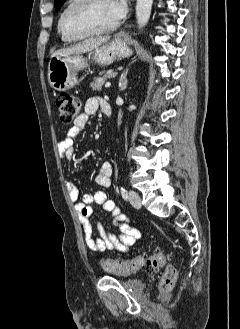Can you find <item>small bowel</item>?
Wrapping results in <instances>:
<instances>
[{"instance_id": "c3829d8e", "label": "small bowel", "mask_w": 240, "mask_h": 329, "mask_svg": "<svg viewBox=\"0 0 240 329\" xmlns=\"http://www.w3.org/2000/svg\"><path fill=\"white\" fill-rule=\"evenodd\" d=\"M103 99L91 98L84 108V112L76 118L74 124L68 129L66 137L58 144V152L65 161H72L75 157V149L73 146L74 138L85 129L89 118L96 111L102 109ZM113 174V166L109 162H105L100 166L98 173L95 176V182L99 186L109 187L111 185V177ZM66 188L69 198L74 204V208L78 214L79 221L82 224L84 231V241L86 246L93 253L102 252L104 250H116L120 252H128L129 248L135 244L141 234L138 229L133 227L128 216L121 212L120 207L115 201L108 199L104 191H96L94 193H85L82 199L79 200V191L71 183H66ZM99 205L111 214L112 223L119 230L116 235L106 229L103 223H97V231L99 237L93 236V227L90 218L93 213V206Z\"/></svg>"}]
</instances>
